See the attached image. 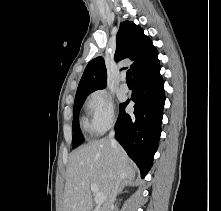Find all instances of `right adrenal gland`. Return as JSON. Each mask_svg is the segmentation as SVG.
<instances>
[{"label":"right adrenal gland","instance_id":"2a0ac1e0","mask_svg":"<svg viewBox=\"0 0 221 211\" xmlns=\"http://www.w3.org/2000/svg\"><path fill=\"white\" fill-rule=\"evenodd\" d=\"M133 185V179L131 178H126L122 183L121 185L119 186L118 188V194H121L123 189L127 186H131Z\"/></svg>","mask_w":221,"mask_h":211}]
</instances>
